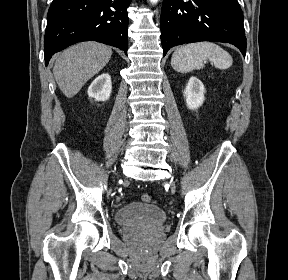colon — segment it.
<instances>
[{"mask_svg": "<svg viewBox=\"0 0 288 280\" xmlns=\"http://www.w3.org/2000/svg\"><path fill=\"white\" fill-rule=\"evenodd\" d=\"M142 201L145 203H152V202H154V199L150 194L146 193V194L142 195Z\"/></svg>", "mask_w": 288, "mask_h": 280, "instance_id": "colon-1", "label": "colon"}]
</instances>
